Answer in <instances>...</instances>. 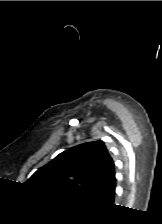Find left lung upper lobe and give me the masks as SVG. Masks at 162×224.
<instances>
[{
  "label": "left lung upper lobe",
  "instance_id": "left-lung-upper-lobe-1",
  "mask_svg": "<svg viewBox=\"0 0 162 224\" xmlns=\"http://www.w3.org/2000/svg\"><path fill=\"white\" fill-rule=\"evenodd\" d=\"M114 173V162L102 141L84 143L56 156L26 182L60 196L86 199Z\"/></svg>",
  "mask_w": 162,
  "mask_h": 224
}]
</instances>
